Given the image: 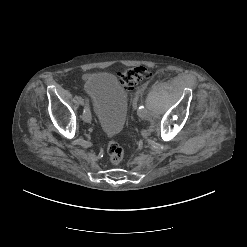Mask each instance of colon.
<instances>
[{
  "instance_id": "5ec220e1",
  "label": "colon",
  "mask_w": 247,
  "mask_h": 247,
  "mask_svg": "<svg viewBox=\"0 0 247 247\" xmlns=\"http://www.w3.org/2000/svg\"><path fill=\"white\" fill-rule=\"evenodd\" d=\"M150 76L151 71L144 66L126 69L119 73L121 84L128 89H133L141 82L149 79ZM107 153L109 162L113 165L119 164L123 159V149L121 145L115 140L109 141L107 145Z\"/></svg>"
}]
</instances>
